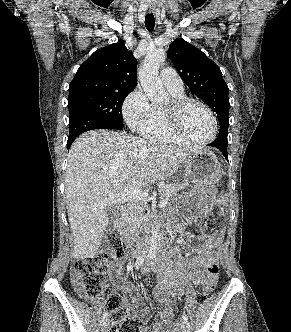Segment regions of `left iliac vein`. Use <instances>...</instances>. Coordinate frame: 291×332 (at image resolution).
<instances>
[{
  "label": "left iliac vein",
  "mask_w": 291,
  "mask_h": 332,
  "mask_svg": "<svg viewBox=\"0 0 291 332\" xmlns=\"http://www.w3.org/2000/svg\"><path fill=\"white\" fill-rule=\"evenodd\" d=\"M180 332H190L189 323L185 320L180 322Z\"/></svg>",
  "instance_id": "left-iliac-vein-1"
}]
</instances>
